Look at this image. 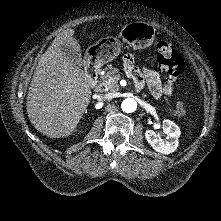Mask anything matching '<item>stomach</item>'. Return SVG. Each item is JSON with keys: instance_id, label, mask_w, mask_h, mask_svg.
<instances>
[{"instance_id": "1", "label": "stomach", "mask_w": 221, "mask_h": 221, "mask_svg": "<svg viewBox=\"0 0 221 221\" xmlns=\"http://www.w3.org/2000/svg\"><path fill=\"white\" fill-rule=\"evenodd\" d=\"M122 38L133 47L141 49L149 46L155 37V28L148 23L137 22L125 26L121 31ZM102 38L88 47L86 55L97 63L103 64L112 61L120 52V43L117 39Z\"/></svg>"}]
</instances>
